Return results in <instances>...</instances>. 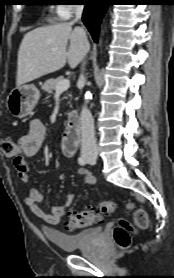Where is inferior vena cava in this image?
Listing matches in <instances>:
<instances>
[{"instance_id": "1", "label": "inferior vena cava", "mask_w": 174, "mask_h": 278, "mask_svg": "<svg viewBox=\"0 0 174 278\" xmlns=\"http://www.w3.org/2000/svg\"><path fill=\"white\" fill-rule=\"evenodd\" d=\"M82 13L83 5H75V20L73 23L81 19ZM84 83L85 77L82 73L79 77L78 85L83 86ZM81 136V152L83 154H97L98 148L94 134V120L91 112L86 107H83L81 111Z\"/></svg>"}]
</instances>
